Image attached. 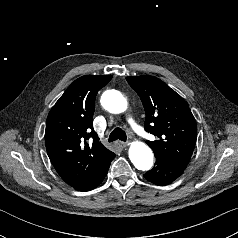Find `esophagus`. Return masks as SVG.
I'll return each mask as SVG.
<instances>
[{
    "mask_svg": "<svg viewBox=\"0 0 238 238\" xmlns=\"http://www.w3.org/2000/svg\"><path fill=\"white\" fill-rule=\"evenodd\" d=\"M117 144H118L120 147H123V148H125V147H127V146L129 145L128 142H123V141H119Z\"/></svg>",
    "mask_w": 238,
    "mask_h": 238,
    "instance_id": "obj_1",
    "label": "esophagus"
}]
</instances>
